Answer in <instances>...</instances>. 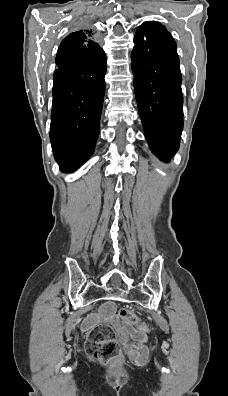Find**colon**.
I'll return each mask as SVG.
<instances>
[{"mask_svg": "<svg viewBox=\"0 0 228 396\" xmlns=\"http://www.w3.org/2000/svg\"><path fill=\"white\" fill-rule=\"evenodd\" d=\"M119 316L127 325L137 327L142 332L147 330V326L140 322L133 311L123 308L119 311ZM85 350L90 358L101 363L114 361L121 356L113 328L108 324L97 325L90 331Z\"/></svg>", "mask_w": 228, "mask_h": 396, "instance_id": "obj_1", "label": "colon"}]
</instances>
